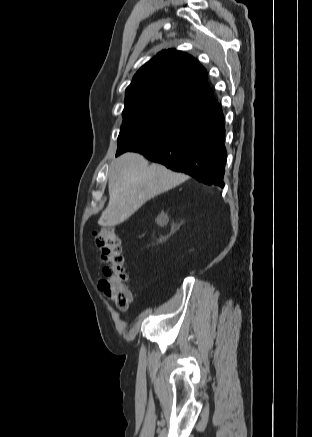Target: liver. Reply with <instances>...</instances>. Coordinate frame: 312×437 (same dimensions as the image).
<instances>
[{"label": "liver", "mask_w": 312, "mask_h": 437, "mask_svg": "<svg viewBox=\"0 0 312 437\" xmlns=\"http://www.w3.org/2000/svg\"><path fill=\"white\" fill-rule=\"evenodd\" d=\"M188 176L172 172L160 164H149L142 155L128 152L114 160L109 170V203L99 224L116 226L127 220L143 204L182 184Z\"/></svg>", "instance_id": "liver-1"}]
</instances>
